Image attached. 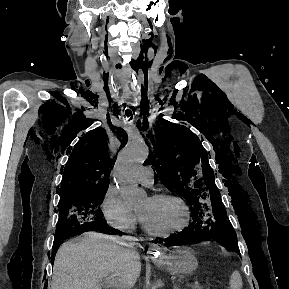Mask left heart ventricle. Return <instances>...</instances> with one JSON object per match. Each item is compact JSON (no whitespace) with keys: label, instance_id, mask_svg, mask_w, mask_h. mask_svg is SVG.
Returning a JSON list of instances; mask_svg holds the SVG:
<instances>
[{"label":"left heart ventricle","instance_id":"obj_1","mask_svg":"<svg viewBox=\"0 0 289 289\" xmlns=\"http://www.w3.org/2000/svg\"><path fill=\"white\" fill-rule=\"evenodd\" d=\"M138 213L156 231L166 232L177 229L185 223V212L174 200L145 199Z\"/></svg>","mask_w":289,"mask_h":289}]
</instances>
